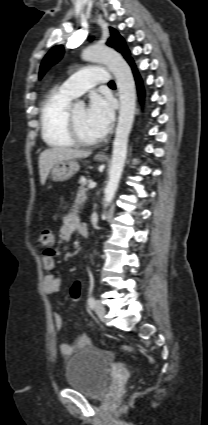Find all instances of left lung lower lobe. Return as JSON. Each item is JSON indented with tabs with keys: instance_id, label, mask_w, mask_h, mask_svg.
Here are the masks:
<instances>
[{
	"instance_id": "1",
	"label": "left lung lower lobe",
	"mask_w": 208,
	"mask_h": 425,
	"mask_svg": "<svg viewBox=\"0 0 208 425\" xmlns=\"http://www.w3.org/2000/svg\"><path fill=\"white\" fill-rule=\"evenodd\" d=\"M129 64L131 65V67H132V69H133V73H134V76H135V79H136V83H137V87H138L139 97H140V99H142V98H143V96H144V90H143V87H142V81H141V78H140V76H139V74H138V72H137V70H136V67H135V65H134L133 60H131V61L129 62Z\"/></svg>"
}]
</instances>
